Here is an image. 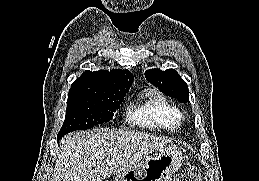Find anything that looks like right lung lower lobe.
Segmentation results:
<instances>
[{"mask_svg":"<svg viewBox=\"0 0 259 181\" xmlns=\"http://www.w3.org/2000/svg\"><path fill=\"white\" fill-rule=\"evenodd\" d=\"M61 138H62V137H59V136H58V137H57V141L59 142V140H60Z\"/></svg>","mask_w":259,"mask_h":181,"instance_id":"right-lung-lower-lobe-1","label":"right lung lower lobe"}]
</instances>
